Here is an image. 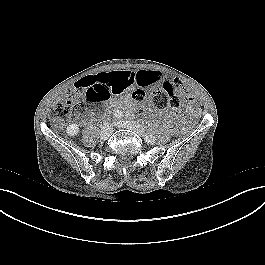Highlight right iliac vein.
I'll use <instances>...</instances> for the list:
<instances>
[{
  "mask_svg": "<svg viewBox=\"0 0 265 265\" xmlns=\"http://www.w3.org/2000/svg\"><path fill=\"white\" fill-rule=\"evenodd\" d=\"M112 132H113L112 126L108 123L105 124V126L102 128V130L100 132L101 139H103V140L108 139L111 136Z\"/></svg>",
  "mask_w": 265,
  "mask_h": 265,
  "instance_id": "obj_1",
  "label": "right iliac vein"
}]
</instances>
